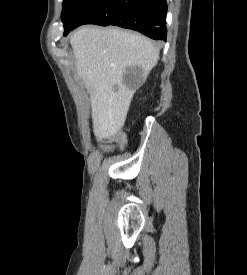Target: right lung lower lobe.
Listing matches in <instances>:
<instances>
[{"mask_svg": "<svg viewBox=\"0 0 247 275\" xmlns=\"http://www.w3.org/2000/svg\"><path fill=\"white\" fill-rule=\"evenodd\" d=\"M166 13V0H101L83 12L64 36L80 25L97 24L116 25L166 41Z\"/></svg>", "mask_w": 247, "mask_h": 275, "instance_id": "1", "label": "right lung lower lobe"}]
</instances>
